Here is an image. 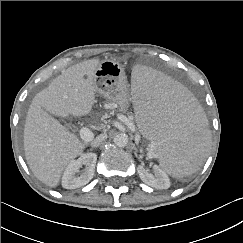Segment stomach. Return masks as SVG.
<instances>
[{
	"label": "stomach",
	"instance_id": "0dacf381",
	"mask_svg": "<svg viewBox=\"0 0 243 243\" xmlns=\"http://www.w3.org/2000/svg\"><path fill=\"white\" fill-rule=\"evenodd\" d=\"M95 91L112 103L120 112L128 110L131 96L123 68L115 61H102L95 71Z\"/></svg>",
	"mask_w": 243,
	"mask_h": 243
}]
</instances>
